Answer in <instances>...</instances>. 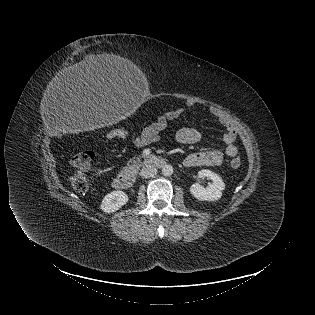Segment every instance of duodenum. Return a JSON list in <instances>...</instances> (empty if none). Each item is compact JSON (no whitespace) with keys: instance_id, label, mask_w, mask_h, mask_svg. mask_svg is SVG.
I'll return each instance as SVG.
<instances>
[{"instance_id":"duodenum-1","label":"duodenum","mask_w":315,"mask_h":315,"mask_svg":"<svg viewBox=\"0 0 315 315\" xmlns=\"http://www.w3.org/2000/svg\"><path fill=\"white\" fill-rule=\"evenodd\" d=\"M147 162L158 167H163L166 164L165 159L159 156H150L147 158ZM136 175L134 171L123 170L114 180V186L117 189H127L131 187L135 181Z\"/></svg>"}]
</instances>
